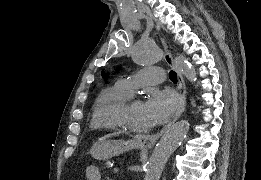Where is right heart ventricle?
Returning <instances> with one entry per match:
<instances>
[{"label":"right heart ventricle","instance_id":"1","mask_svg":"<svg viewBox=\"0 0 261 180\" xmlns=\"http://www.w3.org/2000/svg\"><path fill=\"white\" fill-rule=\"evenodd\" d=\"M129 95L119 84L103 89L98 95L89 119V133H112V138L117 137L113 112L122 105L124 99ZM92 138V139H112Z\"/></svg>","mask_w":261,"mask_h":180}]
</instances>
